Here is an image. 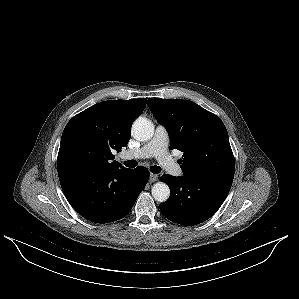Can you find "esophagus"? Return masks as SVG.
I'll return each instance as SVG.
<instances>
[{
  "mask_svg": "<svg viewBox=\"0 0 299 299\" xmlns=\"http://www.w3.org/2000/svg\"><path fill=\"white\" fill-rule=\"evenodd\" d=\"M157 179H158V176L157 175H155V174H150V176H149V182L150 183H154L155 181H157Z\"/></svg>",
  "mask_w": 299,
  "mask_h": 299,
  "instance_id": "34e87169",
  "label": "esophagus"
}]
</instances>
